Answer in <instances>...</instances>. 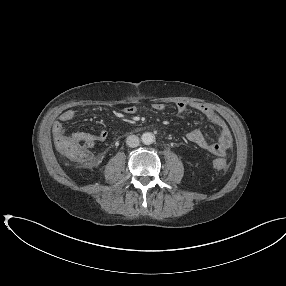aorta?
<instances>
[{
	"label": "aorta",
	"mask_w": 286,
	"mask_h": 286,
	"mask_svg": "<svg viewBox=\"0 0 286 286\" xmlns=\"http://www.w3.org/2000/svg\"><path fill=\"white\" fill-rule=\"evenodd\" d=\"M141 140L145 145H150L154 142L155 137L151 132H145L142 134Z\"/></svg>",
	"instance_id": "obj_1"
}]
</instances>
